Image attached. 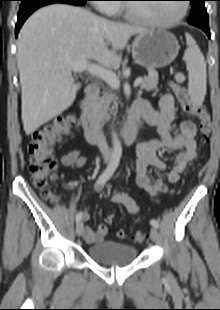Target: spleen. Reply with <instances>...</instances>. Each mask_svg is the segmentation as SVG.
<instances>
[{"instance_id":"1","label":"spleen","mask_w":220,"mask_h":310,"mask_svg":"<svg viewBox=\"0 0 220 310\" xmlns=\"http://www.w3.org/2000/svg\"><path fill=\"white\" fill-rule=\"evenodd\" d=\"M187 49L184 60L189 73L188 92L191 100L200 105L206 95V63L204 56L191 35L186 33Z\"/></svg>"}]
</instances>
